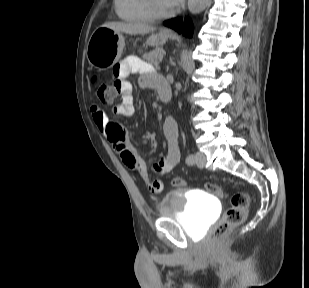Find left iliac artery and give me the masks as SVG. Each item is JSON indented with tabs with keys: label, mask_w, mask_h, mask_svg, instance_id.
I'll return each instance as SVG.
<instances>
[{
	"label": "left iliac artery",
	"mask_w": 309,
	"mask_h": 288,
	"mask_svg": "<svg viewBox=\"0 0 309 288\" xmlns=\"http://www.w3.org/2000/svg\"><path fill=\"white\" fill-rule=\"evenodd\" d=\"M186 163L188 165H193L195 163V156L193 154H189L187 157H186Z\"/></svg>",
	"instance_id": "obj_1"
}]
</instances>
